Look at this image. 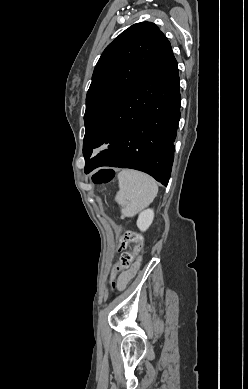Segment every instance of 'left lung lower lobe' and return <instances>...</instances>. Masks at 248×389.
Here are the masks:
<instances>
[{
  "label": "left lung lower lobe",
  "instance_id": "obj_1",
  "mask_svg": "<svg viewBox=\"0 0 248 389\" xmlns=\"http://www.w3.org/2000/svg\"><path fill=\"white\" fill-rule=\"evenodd\" d=\"M179 81L170 46L103 118L100 134L111 137L110 145L86 162L85 172L132 168L167 186L180 120Z\"/></svg>",
  "mask_w": 248,
  "mask_h": 389
}]
</instances>
